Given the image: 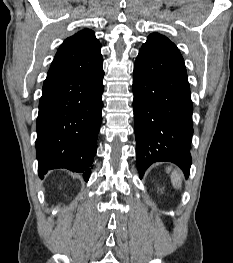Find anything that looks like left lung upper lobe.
Masks as SVG:
<instances>
[{"label":"left lung upper lobe","instance_id":"5c2ea615","mask_svg":"<svg viewBox=\"0 0 233 263\" xmlns=\"http://www.w3.org/2000/svg\"><path fill=\"white\" fill-rule=\"evenodd\" d=\"M148 38H164V39H168V38H166L165 36L160 35V34H158V33H152V34L149 35Z\"/></svg>","mask_w":233,"mask_h":263}]
</instances>
